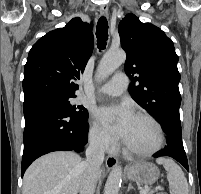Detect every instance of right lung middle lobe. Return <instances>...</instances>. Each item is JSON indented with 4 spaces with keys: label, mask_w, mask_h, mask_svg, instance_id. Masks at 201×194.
I'll list each match as a JSON object with an SVG mask.
<instances>
[{
    "label": "right lung middle lobe",
    "mask_w": 201,
    "mask_h": 194,
    "mask_svg": "<svg viewBox=\"0 0 201 194\" xmlns=\"http://www.w3.org/2000/svg\"><path fill=\"white\" fill-rule=\"evenodd\" d=\"M41 97L60 104L67 112L79 120L87 121L88 119V111L83 106L71 105L70 99L73 96L45 95Z\"/></svg>",
    "instance_id": "right-lung-middle-lobe-1"
}]
</instances>
